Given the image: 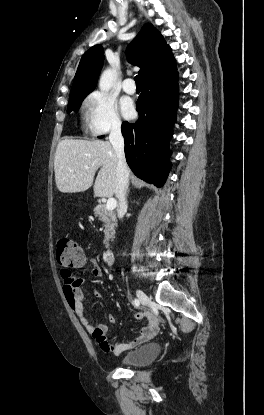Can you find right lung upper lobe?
<instances>
[{
  "mask_svg": "<svg viewBox=\"0 0 264 415\" xmlns=\"http://www.w3.org/2000/svg\"><path fill=\"white\" fill-rule=\"evenodd\" d=\"M129 61L140 67L142 83L176 72V60L171 48L156 28L146 23L128 47ZM104 53L101 45L90 48L81 58L70 97L87 95L96 86L103 65Z\"/></svg>",
  "mask_w": 264,
  "mask_h": 415,
  "instance_id": "obj_1",
  "label": "right lung upper lobe"
}]
</instances>
